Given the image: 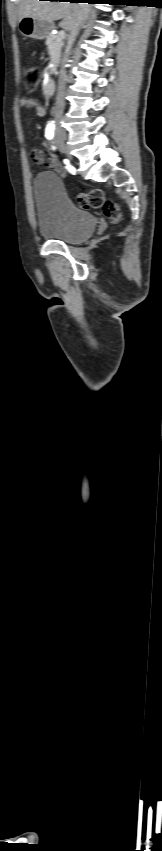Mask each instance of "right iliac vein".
<instances>
[{"label":"right iliac vein","instance_id":"right-iliac-vein-1","mask_svg":"<svg viewBox=\"0 0 162 851\" xmlns=\"http://www.w3.org/2000/svg\"><path fill=\"white\" fill-rule=\"evenodd\" d=\"M60 147H61V149L63 150V152H65V153H67V154H68V149H67L66 145H65L63 142H60ZM69 157H70V156H69ZM70 158H71V157H70Z\"/></svg>","mask_w":162,"mask_h":851}]
</instances>
